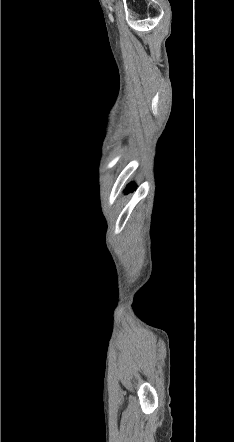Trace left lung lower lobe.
<instances>
[{"label": "left lung lower lobe", "instance_id": "obj_1", "mask_svg": "<svg viewBox=\"0 0 234 442\" xmlns=\"http://www.w3.org/2000/svg\"><path fill=\"white\" fill-rule=\"evenodd\" d=\"M134 186H135L134 184H130V185L128 186V189L131 190V189L134 188Z\"/></svg>", "mask_w": 234, "mask_h": 442}]
</instances>
